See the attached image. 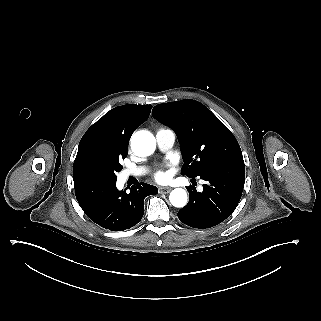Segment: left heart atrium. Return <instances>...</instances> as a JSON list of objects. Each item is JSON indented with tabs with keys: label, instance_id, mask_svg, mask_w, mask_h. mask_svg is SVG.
<instances>
[{
	"label": "left heart atrium",
	"instance_id": "1",
	"mask_svg": "<svg viewBox=\"0 0 321 321\" xmlns=\"http://www.w3.org/2000/svg\"><path fill=\"white\" fill-rule=\"evenodd\" d=\"M155 178L159 181H166L168 178V175L165 171H163L162 169H158L155 172Z\"/></svg>",
	"mask_w": 321,
	"mask_h": 321
}]
</instances>
